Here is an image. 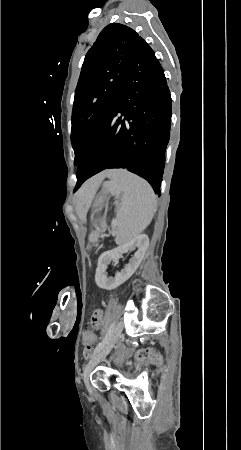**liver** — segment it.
<instances>
[{
  "label": "liver",
  "instance_id": "6515ba94",
  "mask_svg": "<svg viewBox=\"0 0 241 450\" xmlns=\"http://www.w3.org/2000/svg\"><path fill=\"white\" fill-rule=\"evenodd\" d=\"M109 172L110 170H105V172H101V174H97V176H93V178L87 180L82 188H80L79 192H77V200H82V202H88V204H90L89 196H91V198L94 196L96 190H98L104 178H107Z\"/></svg>",
  "mask_w": 241,
  "mask_h": 450
}]
</instances>
